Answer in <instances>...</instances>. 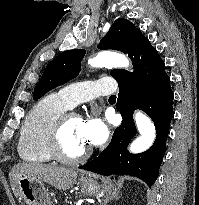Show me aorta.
Here are the masks:
<instances>
[{
    "label": "aorta",
    "instance_id": "aorta-1",
    "mask_svg": "<svg viewBox=\"0 0 199 205\" xmlns=\"http://www.w3.org/2000/svg\"><path fill=\"white\" fill-rule=\"evenodd\" d=\"M88 63L92 67L127 68L129 66V61L125 55L112 51L99 52L96 57L89 59ZM135 122L141 136L131 143L130 152L138 154L152 146L156 131L153 122L142 112L135 114Z\"/></svg>",
    "mask_w": 199,
    "mask_h": 205
}]
</instances>
